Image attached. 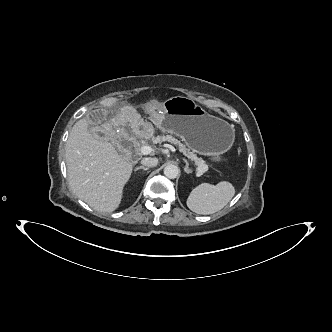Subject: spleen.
<instances>
[{
    "mask_svg": "<svg viewBox=\"0 0 332 332\" xmlns=\"http://www.w3.org/2000/svg\"><path fill=\"white\" fill-rule=\"evenodd\" d=\"M234 195L235 189L229 182L223 181L216 186L202 183L191 191L187 206L197 214L209 215L223 209Z\"/></svg>",
    "mask_w": 332,
    "mask_h": 332,
    "instance_id": "3e777b00",
    "label": "spleen"
}]
</instances>
